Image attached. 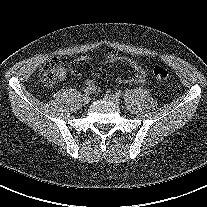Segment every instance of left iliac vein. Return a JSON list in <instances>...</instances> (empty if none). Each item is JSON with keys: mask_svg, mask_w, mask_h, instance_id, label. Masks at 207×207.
<instances>
[{"mask_svg": "<svg viewBox=\"0 0 207 207\" xmlns=\"http://www.w3.org/2000/svg\"><path fill=\"white\" fill-rule=\"evenodd\" d=\"M104 98L110 102L117 104V105L121 103V100L119 99V97L114 94H108Z\"/></svg>", "mask_w": 207, "mask_h": 207, "instance_id": "4c4485c4", "label": "left iliac vein"}]
</instances>
